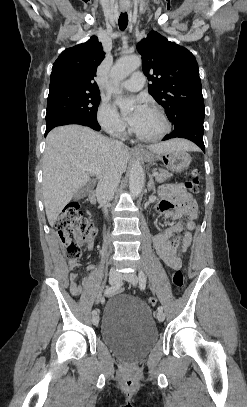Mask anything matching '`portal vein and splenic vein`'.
<instances>
[{
  "instance_id": "portal-vein-and-splenic-vein-1",
  "label": "portal vein and splenic vein",
  "mask_w": 247,
  "mask_h": 407,
  "mask_svg": "<svg viewBox=\"0 0 247 407\" xmlns=\"http://www.w3.org/2000/svg\"><path fill=\"white\" fill-rule=\"evenodd\" d=\"M91 175H93L95 172H96V170H94V169H92V168H85ZM157 172L156 171H154L153 172V176H157Z\"/></svg>"
}]
</instances>
